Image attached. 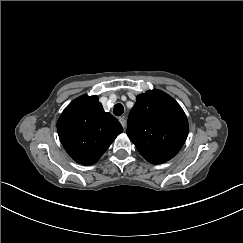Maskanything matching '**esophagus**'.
I'll return each instance as SVG.
<instances>
[{"label":"esophagus","instance_id":"34e87169","mask_svg":"<svg viewBox=\"0 0 243 243\" xmlns=\"http://www.w3.org/2000/svg\"><path fill=\"white\" fill-rule=\"evenodd\" d=\"M119 122L121 123L122 127L125 128L126 122H125V119L123 117L119 118Z\"/></svg>","mask_w":243,"mask_h":243}]
</instances>
